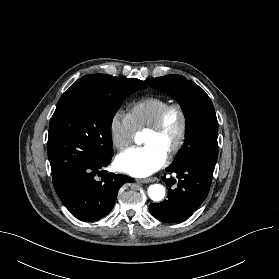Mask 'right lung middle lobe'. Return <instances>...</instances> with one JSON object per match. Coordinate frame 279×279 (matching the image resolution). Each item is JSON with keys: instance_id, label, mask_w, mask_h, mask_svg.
I'll return each instance as SVG.
<instances>
[{"instance_id": "1", "label": "right lung middle lobe", "mask_w": 279, "mask_h": 279, "mask_svg": "<svg viewBox=\"0 0 279 279\" xmlns=\"http://www.w3.org/2000/svg\"><path fill=\"white\" fill-rule=\"evenodd\" d=\"M139 89H145L139 79L89 74L65 91L49 127L53 181L85 163L113 156L112 118L121 102Z\"/></svg>"}]
</instances>
